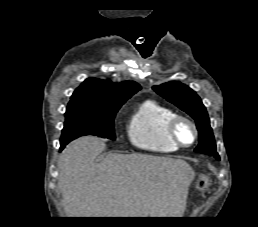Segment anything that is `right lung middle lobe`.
<instances>
[{"label":"right lung middle lobe","mask_w":258,"mask_h":227,"mask_svg":"<svg viewBox=\"0 0 258 227\" xmlns=\"http://www.w3.org/2000/svg\"><path fill=\"white\" fill-rule=\"evenodd\" d=\"M122 105L93 107L69 103L65 113V124L60 143H69L84 135H95L114 140L113 120Z\"/></svg>","instance_id":"right-lung-middle-lobe-1"}]
</instances>
